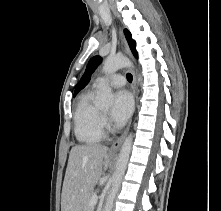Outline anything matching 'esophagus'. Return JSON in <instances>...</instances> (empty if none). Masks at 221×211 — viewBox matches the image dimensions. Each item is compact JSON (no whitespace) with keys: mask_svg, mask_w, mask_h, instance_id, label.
I'll return each mask as SVG.
<instances>
[{"mask_svg":"<svg viewBox=\"0 0 221 211\" xmlns=\"http://www.w3.org/2000/svg\"><path fill=\"white\" fill-rule=\"evenodd\" d=\"M120 37H121V41H122V44H123L124 52L127 55H130L129 49H128L125 41H124L123 33H122L121 30H120ZM132 75H133L132 91H133V96H134V103H136V76H135L134 71H132ZM130 125H131V120H130L126 130L123 132V134L113 142V144H112V146L110 148L111 152H116V151H118L120 149V147H121L125 137L127 136V133L129 131V128H130Z\"/></svg>","mask_w":221,"mask_h":211,"instance_id":"esophagus-1","label":"esophagus"}]
</instances>
